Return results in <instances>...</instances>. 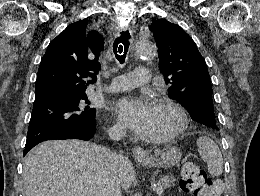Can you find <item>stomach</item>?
Wrapping results in <instances>:
<instances>
[{"instance_id":"1","label":"stomach","mask_w":260,"mask_h":196,"mask_svg":"<svg viewBox=\"0 0 260 196\" xmlns=\"http://www.w3.org/2000/svg\"><path fill=\"white\" fill-rule=\"evenodd\" d=\"M182 158L181 150L176 146H165L163 150H155L154 156H150L147 160H136L140 166L146 168H172L178 164Z\"/></svg>"}]
</instances>
